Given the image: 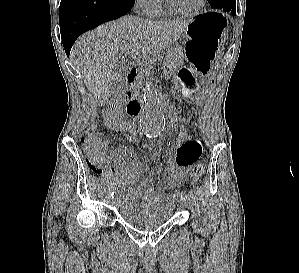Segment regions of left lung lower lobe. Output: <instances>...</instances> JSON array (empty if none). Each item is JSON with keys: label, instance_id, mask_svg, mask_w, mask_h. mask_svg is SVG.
<instances>
[{"label": "left lung lower lobe", "instance_id": "0a47b994", "mask_svg": "<svg viewBox=\"0 0 299 273\" xmlns=\"http://www.w3.org/2000/svg\"><path fill=\"white\" fill-rule=\"evenodd\" d=\"M209 4L213 9H222L224 11H231L233 15L236 14L235 0H212Z\"/></svg>", "mask_w": 299, "mask_h": 273}]
</instances>
